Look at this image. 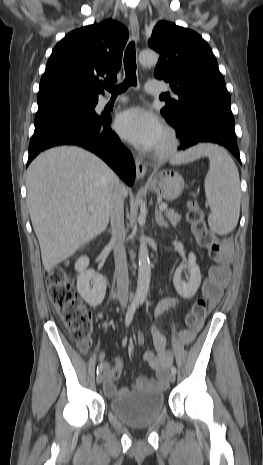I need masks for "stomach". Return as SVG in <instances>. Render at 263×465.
Returning <instances> with one entry per match:
<instances>
[{
  "label": "stomach",
  "instance_id": "1",
  "mask_svg": "<svg viewBox=\"0 0 263 465\" xmlns=\"http://www.w3.org/2000/svg\"><path fill=\"white\" fill-rule=\"evenodd\" d=\"M184 186V180L177 172L159 171L153 173L150 189L158 196L171 201L181 195Z\"/></svg>",
  "mask_w": 263,
  "mask_h": 465
}]
</instances>
